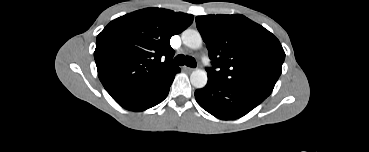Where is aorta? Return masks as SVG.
Segmentation results:
<instances>
[{"label":"aorta","mask_w":369,"mask_h":152,"mask_svg":"<svg viewBox=\"0 0 369 152\" xmlns=\"http://www.w3.org/2000/svg\"><path fill=\"white\" fill-rule=\"evenodd\" d=\"M183 43L190 49H199L202 46V37L197 30L187 29L182 33ZM207 73L196 69L191 73L190 81L195 88H203L207 84Z\"/></svg>","instance_id":"aorta-1"}]
</instances>
